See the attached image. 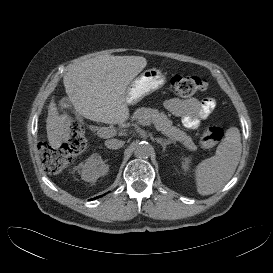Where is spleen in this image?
<instances>
[{
    "mask_svg": "<svg viewBox=\"0 0 273 273\" xmlns=\"http://www.w3.org/2000/svg\"><path fill=\"white\" fill-rule=\"evenodd\" d=\"M240 131L231 127L218 145L214 156L200 162L195 168L197 192L210 195L221 189L233 176L241 157Z\"/></svg>",
    "mask_w": 273,
    "mask_h": 273,
    "instance_id": "1",
    "label": "spleen"
}]
</instances>
